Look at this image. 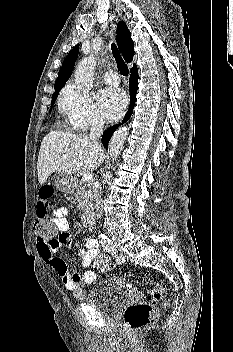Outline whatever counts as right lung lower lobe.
<instances>
[{"label": "right lung lower lobe", "instance_id": "obj_1", "mask_svg": "<svg viewBox=\"0 0 233 352\" xmlns=\"http://www.w3.org/2000/svg\"><path fill=\"white\" fill-rule=\"evenodd\" d=\"M137 88H138V72H137V69H135V70H131L130 79H129L130 107H129V110H128L127 114L125 115L122 123L126 122L131 117V114L133 112V108H134V105H135ZM119 126H120V124H118V125H116L114 127H110L109 129H107L103 133L101 141H102L103 146L106 149H108V143H109V140H110L111 136L113 135L114 131Z\"/></svg>", "mask_w": 233, "mask_h": 352}]
</instances>
